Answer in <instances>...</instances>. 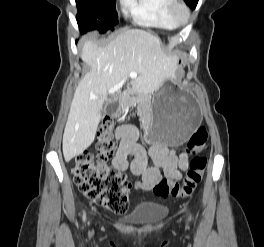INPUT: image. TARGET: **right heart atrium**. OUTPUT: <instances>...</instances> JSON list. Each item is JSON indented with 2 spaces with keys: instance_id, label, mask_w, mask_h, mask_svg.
Returning <instances> with one entry per match:
<instances>
[{
  "instance_id": "right-heart-atrium-1",
  "label": "right heart atrium",
  "mask_w": 264,
  "mask_h": 247,
  "mask_svg": "<svg viewBox=\"0 0 264 247\" xmlns=\"http://www.w3.org/2000/svg\"><path fill=\"white\" fill-rule=\"evenodd\" d=\"M120 3L123 7H127L128 5V0H120Z\"/></svg>"
}]
</instances>
